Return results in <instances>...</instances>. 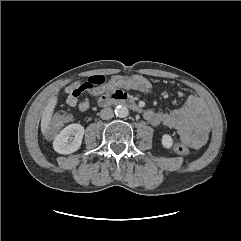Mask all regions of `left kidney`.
I'll return each instance as SVG.
<instances>
[{"mask_svg": "<svg viewBox=\"0 0 241 241\" xmlns=\"http://www.w3.org/2000/svg\"><path fill=\"white\" fill-rule=\"evenodd\" d=\"M161 142H162L163 147L166 148V149H170L173 145V139L168 134H164L162 136Z\"/></svg>", "mask_w": 241, "mask_h": 241, "instance_id": "obj_1", "label": "left kidney"}]
</instances>
